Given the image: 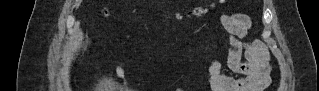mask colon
<instances>
[{"label": "colon", "instance_id": "5ec220e1", "mask_svg": "<svg viewBox=\"0 0 319 91\" xmlns=\"http://www.w3.org/2000/svg\"><path fill=\"white\" fill-rule=\"evenodd\" d=\"M192 13H193L194 15H202V14L204 13V9L198 7V8H195V9L192 11Z\"/></svg>", "mask_w": 319, "mask_h": 91}]
</instances>
